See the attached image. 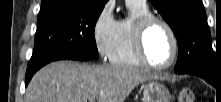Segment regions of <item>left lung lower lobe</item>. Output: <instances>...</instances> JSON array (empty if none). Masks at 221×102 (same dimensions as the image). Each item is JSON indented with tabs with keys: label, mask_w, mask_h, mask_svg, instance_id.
Wrapping results in <instances>:
<instances>
[{
	"label": "left lung lower lobe",
	"mask_w": 221,
	"mask_h": 102,
	"mask_svg": "<svg viewBox=\"0 0 221 102\" xmlns=\"http://www.w3.org/2000/svg\"><path fill=\"white\" fill-rule=\"evenodd\" d=\"M177 74H193L198 75L202 78H204L208 83L212 85H216L217 87V77L213 76L211 73H208L202 69L198 68H190V69H183V70H174Z\"/></svg>",
	"instance_id": "left-lung-lower-lobe-1"
}]
</instances>
